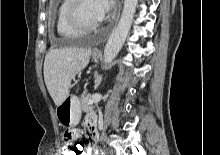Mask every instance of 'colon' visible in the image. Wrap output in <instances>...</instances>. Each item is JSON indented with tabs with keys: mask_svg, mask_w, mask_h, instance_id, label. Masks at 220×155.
Instances as JSON below:
<instances>
[{
	"mask_svg": "<svg viewBox=\"0 0 220 155\" xmlns=\"http://www.w3.org/2000/svg\"><path fill=\"white\" fill-rule=\"evenodd\" d=\"M66 142L67 146H61L62 155H83L82 142Z\"/></svg>",
	"mask_w": 220,
	"mask_h": 155,
	"instance_id": "1",
	"label": "colon"
}]
</instances>
